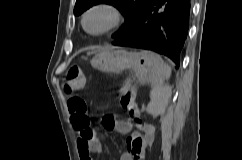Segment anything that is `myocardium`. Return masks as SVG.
<instances>
[{
    "label": "myocardium",
    "mask_w": 242,
    "mask_h": 160,
    "mask_svg": "<svg viewBox=\"0 0 242 160\" xmlns=\"http://www.w3.org/2000/svg\"><path fill=\"white\" fill-rule=\"evenodd\" d=\"M96 10H106L108 12H110L111 14V21L110 23L105 27L103 28L102 30H99V31H96V32H93V31H90L88 28H87V25H86V21H87V18L88 16L96 11ZM124 13L122 11V9L120 7H118L117 5L111 3V2H107V1H103V2H98V3H95L91 6H89L83 13L82 15V18H81V24H82V27L84 29V31L91 35V36H103V35H106L116 29H118L124 22Z\"/></svg>",
    "instance_id": "1"
}]
</instances>
